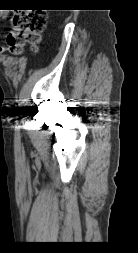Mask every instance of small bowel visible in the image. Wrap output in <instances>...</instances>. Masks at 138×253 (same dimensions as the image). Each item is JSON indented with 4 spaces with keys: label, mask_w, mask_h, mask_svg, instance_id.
Masks as SVG:
<instances>
[{
    "label": "small bowel",
    "mask_w": 138,
    "mask_h": 253,
    "mask_svg": "<svg viewBox=\"0 0 138 253\" xmlns=\"http://www.w3.org/2000/svg\"><path fill=\"white\" fill-rule=\"evenodd\" d=\"M5 51V47L4 46H0V54H2Z\"/></svg>",
    "instance_id": "1"
}]
</instances>
